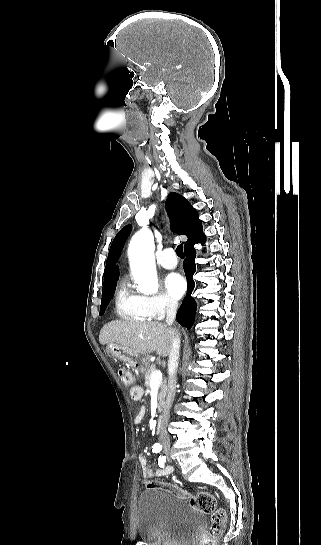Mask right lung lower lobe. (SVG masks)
Listing matches in <instances>:
<instances>
[{"label":"right lung lower lobe","instance_id":"1","mask_svg":"<svg viewBox=\"0 0 321 545\" xmlns=\"http://www.w3.org/2000/svg\"><path fill=\"white\" fill-rule=\"evenodd\" d=\"M206 237L202 229L197 232L192 238L185 243V255L186 259L183 263L186 279L188 282L187 294L177 312L176 318L181 326L190 329L195 320L196 302L192 298L191 294L195 286L193 281V274L196 271L195 256L196 250L194 249L195 243H205Z\"/></svg>","mask_w":321,"mask_h":545}]
</instances>
